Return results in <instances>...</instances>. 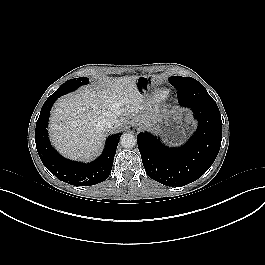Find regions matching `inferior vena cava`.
<instances>
[{
  "instance_id": "602c4592",
  "label": "inferior vena cava",
  "mask_w": 265,
  "mask_h": 265,
  "mask_svg": "<svg viewBox=\"0 0 265 265\" xmlns=\"http://www.w3.org/2000/svg\"><path fill=\"white\" fill-rule=\"evenodd\" d=\"M119 125H120V122L117 119V117L114 116V115H112V116H110L108 118H105V119H103L102 121H100L98 123V126L101 129H103L104 131H109V130H111L113 128H117V127H119Z\"/></svg>"
}]
</instances>
